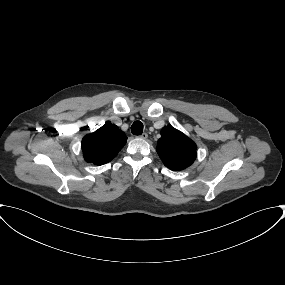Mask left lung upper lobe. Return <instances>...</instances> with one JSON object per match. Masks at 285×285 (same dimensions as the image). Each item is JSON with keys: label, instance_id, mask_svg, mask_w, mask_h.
Segmentation results:
<instances>
[{"label": "left lung upper lobe", "instance_id": "1", "mask_svg": "<svg viewBox=\"0 0 285 285\" xmlns=\"http://www.w3.org/2000/svg\"><path fill=\"white\" fill-rule=\"evenodd\" d=\"M196 144L179 130L166 126L161 130L157 153L171 170H183L196 159Z\"/></svg>", "mask_w": 285, "mask_h": 285}]
</instances>
